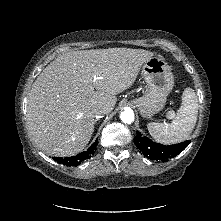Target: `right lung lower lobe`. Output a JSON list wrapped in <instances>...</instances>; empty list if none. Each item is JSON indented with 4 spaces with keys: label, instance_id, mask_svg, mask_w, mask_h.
I'll use <instances>...</instances> for the list:
<instances>
[{
    "label": "right lung lower lobe",
    "instance_id": "right-lung-lower-lobe-1",
    "mask_svg": "<svg viewBox=\"0 0 221 221\" xmlns=\"http://www.w3.org/2000/svg\"><path fill=\"white\" fill-rule=\"evenodd\" d=\"M97 141L91 145L86 151H83L79 153L76 156L72 157H66V158H53L55 161H57L60 164H64L66 166H78L81 162L89 159L91 157L96 149Z\"/></svg>",
    "mask_w": 221,
    "mask_h": 221
}]
</instances>
